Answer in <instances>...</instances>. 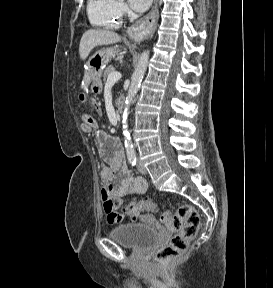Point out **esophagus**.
I'll return each instance as SVG.
<instances>
[{
  "label": "esophagus",
  "mask_w": 273,
  "mask_h": 288,
  "mask_svg": "<svg viewBox=\"0 0 273 288\" xmlns=\"http://www.w3.org/2000/svg\"><path fill=\"white\" fill-rule=\"evenodd\" d=\"M159 17L158 0L154 1L152 9L143 18L137 20L133 25L127 29L130 38L139 40L146 35L154 33Z\"/></svg>",
  "instance_id": "esophagus-1"
}]
</instances>
